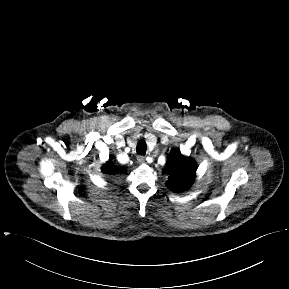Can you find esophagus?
Masks as SVG:
<instances>
[{"instance_id":"esophagus-1","label":"esophagus","mask_w":289,"mask_h":289,"mask_svg":"<svg viewBox=\"0 0 289 289\" xmlns=\"http://www.w3.org/2000/svg\"><path fill=\"white\" fill-rule=\"evenodd\" d=\"M137 161L139 164H143V163H145V157L143 155H139L137 157Z\"/></svg>"}]
</instances>
